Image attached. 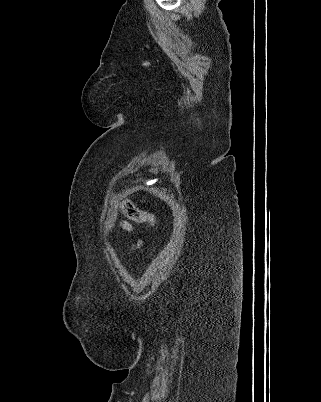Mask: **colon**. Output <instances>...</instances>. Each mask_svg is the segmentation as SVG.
Wrapping results in <instances>:
<instances>
[{
  "label": "colon",
  "instance_id": "5ec220e1",
  "mask_svg": "<svg viewBox=\"0 0 321 402\" xmlns=\"http://www.w3.org/2000/svg\"><path fill=\"white\" fill-rule=\"evenodd\" d=\"M120 209L135 223L158 225L157 217L153 213L137 207L129 200H122L120 202Z\"/></svg>",
  "mask_w": 321,
  "mask_h": 402
}]
</instances>
